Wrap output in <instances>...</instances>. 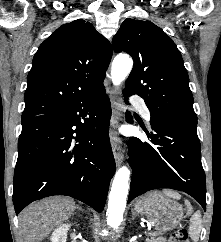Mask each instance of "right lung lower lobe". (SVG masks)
<instances>
[{"label":"right lung lower lobe","mask_w":221,"mask_h":242,"mask_svg":"<svg viewBox=\"0 0 221 242\" xmlns=\"http://www.w3.org/2000/svg\"><path fill=\"white\" fill-rule=\"evenodd\" d=\"M110 118V100L102 86L65 109L22 120L13 181L16 214L53 195L103 210L116 170Z\"/></svg>","instance_id":"1"}]
</instances>
